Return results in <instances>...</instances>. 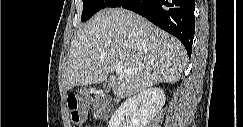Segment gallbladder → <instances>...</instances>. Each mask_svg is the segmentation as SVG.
I'll return each mask as SVG.
<instances>
[{"label":"gallbladder","mask_w":243,"mask_h":127,"mask_svg":"<svg viewBox=\"0 0 243 127\" xmlns=\"http://www.w3.org/2000/svg\"><path fill=\"white\" fill-rule=\"evenodd\" d=\"M104 89H105V90H108V89H109V85H108V83H105V84H104Z\"/></svg>","instance_id":"obj_1"}]
</instances>
